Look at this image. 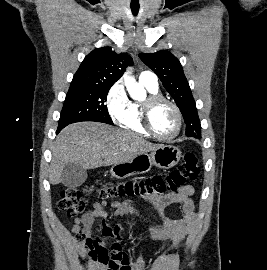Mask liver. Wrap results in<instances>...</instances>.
<instances>
[{"label": "liver", "instance_id": "1", "mask_svg": "<svg viewBox=\"0 0 267 270\" xmlns=\"http://www.w3.org/2000/svg\"><path fill=\"white\" fill-rule=\"evenodd\" d=\"M135 133L99 122H80L65 127L57 136L50 164L49 181L57 185L68 163L94 169L124 163L158 148Z\"/></svg>", "mask_w": 267, "mask_h": 270}]
</instances>
